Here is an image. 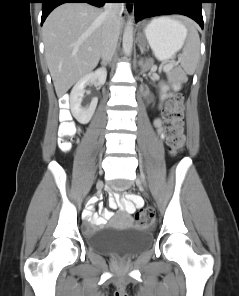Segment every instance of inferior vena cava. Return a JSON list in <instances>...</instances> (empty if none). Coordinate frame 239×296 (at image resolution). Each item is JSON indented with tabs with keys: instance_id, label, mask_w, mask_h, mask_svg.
Returning a JSON list of instances; mask_svg holds the SVG:
<instances>
[{
	"instance_id": "1",
	"label": "inferior vena cava",
	"mask_w": 239,
	"mask_h": 296,
	"mask_svg": "<svg viewBox=\"0 0 239 296\" xmlns=\"http://www.w3.org/2000/svg\"><path fill=\"white\" fill-rule=\"evenodd\" d=\"M123 3H106L104 6V25L102 28V49L101 58L102 64L106 65L111 61L119 38V22L123 12Z\"/></svg>"
}]
</instances>
